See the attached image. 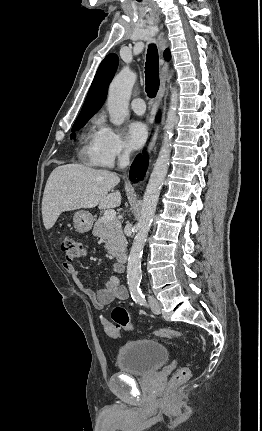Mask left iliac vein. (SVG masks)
<instances>
[{
  "label": "left iliac vein",
  "mask_w": 262,
  "mask_h": 431,
  "mask_svg": "<svg viewBox=\"0 0 262 431\" xmlns=\"http://www.w3.org/2000/svg\"><path fill=\"white\" fill-rule=\"evenodd\" d=\"M149 304L151 307V310L154 314H160V303L159 301L153 297V296H149Z\"/></svg>",
  "instance_id": "left-iliac-vein-1"
}]
</instances>
